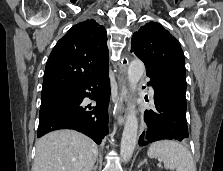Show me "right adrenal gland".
<instances>
[{
    "instance_id": "right-adrenal-gland-1",
    "label": "right adrenal gland",
    "mask_w": 223,
    "mask_h": 171,
    "mask_svg": "<svg viewBox=\"0 0 223 171\" xmlns=\"http://www.w3.org/2000/svg\"><path fill=\"white\" fill-rule=\"evenodd\" d=\"M97 167H98V161H97L96 165L93 166V168L90 171H96L97 170Z\"/></svg>"
}]
</instances>
